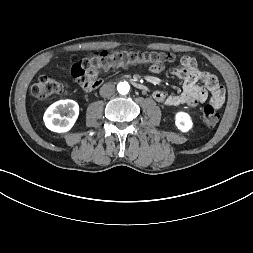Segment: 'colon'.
<instances>
[{"mask_svg":"<svg viewBox=\"0 0 253 253\" xmlns=\"http://www.w3.org/2000/svg\"><path fill=\"white\" fill-rule=\"evenodd\" d=\"M175 55L172 53L155 51H132L117 50L103 51L91 54L78 62L71 68L70 79L76 87L85 89L97 88L104 82V77L99 72L112 68L128 65H149L152 61H163L165 64L173 62ZM63 83L48 75H41L33 84L31 92L38 99H48L60 95L65 91ZM202 118L205 125L214 127L219 121V114L212 104H207L202 110Z\"/></svg>","mask_w":253,"mask_h":253,"instance_id":"obj_1","label":"colon"}]
</instances>
